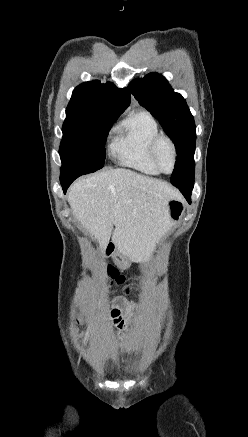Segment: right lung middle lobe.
I'll use <instances>...</instances> for the list:
<instances>
[{"mask_svg": "<svg viewBox=\"0 0 248 437\" xmlns=\"http://www.w3.org/2000/svg\"><path fill=\"white\" fill-rule=\"evenodd\" d=\"M118 117L87 118L66 114L59 154L61 174H88L101 169L105 141Z\"/></svg>", "mask_w": 248, "mask_h": 437, "instance_id": "dd1d6c3e", "label": "right lung middle lobe"}]
</instances>
